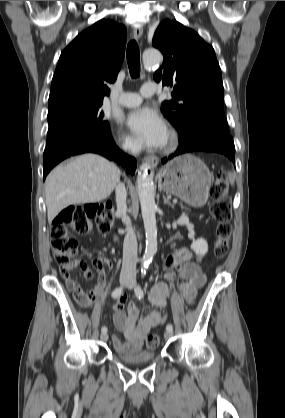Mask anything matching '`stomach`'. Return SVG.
<instances>
[{
	"label": "stomach",
	"mask_w": 285,
	"mask_h": 418,
	"mask_svg": "<svg viewBox=\"0 0 285 418\" xmlns=\"http://www.w3.org/2000/svg\"><path fill=\"white\" fill-rule=\"evenodd\" d=\"M158 177L162 190L193 207H201L208 200L212 174L206 164L192 154L168 162Z\"/></svg>",
	"instance_id": "1"
}]
</instances>
